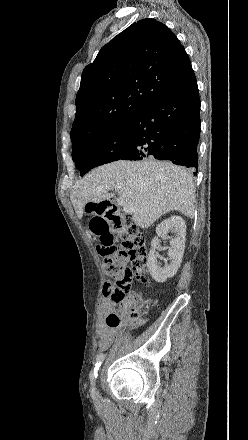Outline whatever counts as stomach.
<instances>
[{
	"label": "stomach",
	"mask_w": 248,
	"mask_h": 440,
	"mask_svg": "<svg viewBox=\"0 0 248 440\" xmlns=\"http://www.w3.org/2000/svg\"><path fill=\"white\" fill-rule=\"evenodd\" d=\"M87 231L92 232L93 237H99V241H116V232L112 228L110 218H94L96 213H103V204H86Z\"/></svg>",
	"instance_id": "stomach-1"
}]
</instances>
